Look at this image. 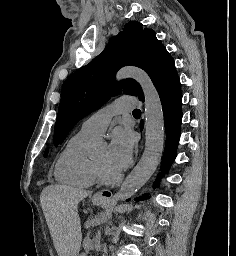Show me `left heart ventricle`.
Masks as SVG:
<instances>
[{"label": "left heart ventricle", "instance_id": "left-heart-ventricle-1", "mask_svg": "<svg viewBox=\"0 0 236 256\" xmlns=\"http://www.w3.org/2000/svg\"><path fill=\"white\" fill-rule=\"evenodd\" d=\"M93 161L106 173L109 175L117 174L112 171L107 164V151L106 149L99 151L94 157Z\"/></svg>", "mask_w": 236, "mask_h": 256}]
</instances>
